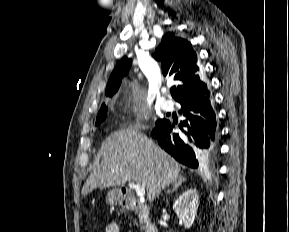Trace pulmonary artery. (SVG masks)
<instances>
[{
    "label": "pulmonary artery",
    "instance_id": "pulmonary-artery-1",
    "mask_svg": "<svg viewBox=\"0 0 289 232\" xmlns=\"http://www.w3.org/2000/svg\"><path fill=\"white\" fill-rule=\"evenodd\" d=\"M161 107L165 111H172L174 109V103L170 99H165V100L162 101Z\"/></svg>",
    "mask_w": 289,
    "mask_h": 232
}]
</instances>
